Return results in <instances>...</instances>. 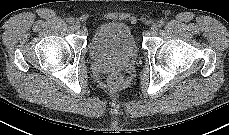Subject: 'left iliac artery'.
Instances as JSON below:
<instances>
[{"instance_id": "44dca946", "label": "left iliac artery", "mask_w": 229, "mask_h": 135, "mask_svg": "<svg viewBox=\"0 0 229 135\" xmlns=\"http://www.w3.org/2000/svg\"><path fill=\"white\" fill-rule=\"evenodd\" d=\"M158 23H159V26L161 27L164 25L165 22L163 20H160Z\"/></svg>"}]
</instances>
